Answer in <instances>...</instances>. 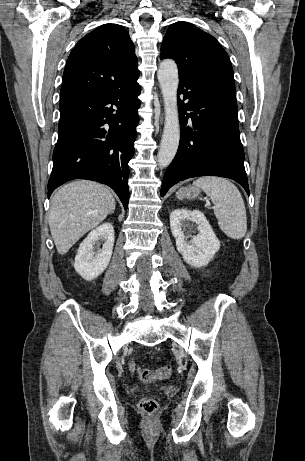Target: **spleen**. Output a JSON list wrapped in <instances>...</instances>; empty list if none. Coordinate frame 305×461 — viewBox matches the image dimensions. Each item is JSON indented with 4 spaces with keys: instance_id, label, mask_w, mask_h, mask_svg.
I'll list each match as a JSON object with an SVG mask.
<instances>
[{
    "instance_id": "3e777b00",
    "label": "spleen",
    "mask_w": 305,
    "mask_h": 461,
    "mask_svg": "<svg viewBox=\"0 0 305 461\" xmlns=\"http://www.w3.org/2000/svg\"><path fill=\"white\" fill-rule=\"evenodd\" d=\"M193 186L210 197L220 229L232 239H242L247 231V217L238 188L229 180L216 176L200 177Z\"/></svg>"
}]
</instances>
